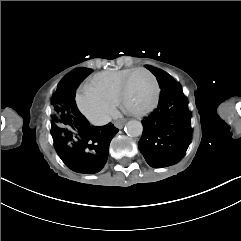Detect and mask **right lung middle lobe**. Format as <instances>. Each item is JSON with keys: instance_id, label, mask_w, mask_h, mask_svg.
Masks as SVG:
<instances>
[{"instance_id": "dd1d6c3e", "label": "right lung middle lobe", "mask_w": 241, "mask_h": 241, "mask_svg": "<svg viewBox=\"0 0 241 241\" xmlns=\"http://www.w3.org/2000/svg\"><path fill=\"white\" fill-rule=\"evenodd\" d=\"M88 72L91 73L92 70L88 69ZM66 84V80H62L51 99L52 136H68L74 132V126L65 102V97L70 94Z\"/></svg>"}]
</instances>
